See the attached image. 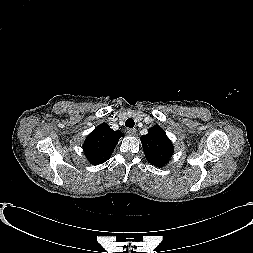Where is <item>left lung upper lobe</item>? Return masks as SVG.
Listing matches in <instances>:
<instances>
[{
    "label": "left lung upper lobe",
    "mask_w": 253,
    "mask_h": 253,
    "mask_svg": "<svg viewBox=\"0 0 253 253\" xmlns=\"http://www.w3.org/2000/svg\"><path fill=\"white\" fill-rule=\"evenodd\" d=\"M140 139L145 156L152 165L162 167L169 162L173 155V145L160 126L151 127L148 134Z\"/></svg>",
    "instance_id": "left-lung-upper-lobe-1"
}]
</instances>
